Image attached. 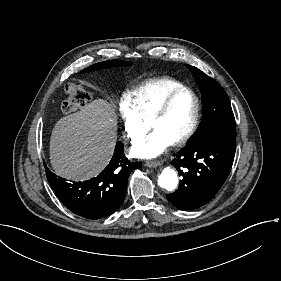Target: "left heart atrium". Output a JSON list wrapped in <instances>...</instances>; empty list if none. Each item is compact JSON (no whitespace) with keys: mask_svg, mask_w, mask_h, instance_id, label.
Masks as SVG:
<instances>
[{"mask_svg":"<svg viewBox=\"0 0 281 281\" xmlns=\"http://www.w3.org/2000/svg\"><path fill=\"white\" fill-rule=\"evenodd\" d=\"M169 146L170 142L163 135L152 132L134 146L132 153L139 159H153L163 154Z\"/></svg>","mask_w":281,"mask_h":281,"instance_id":"left-heart-atrium-1","label":"left heart atrium"}]
</instances>
